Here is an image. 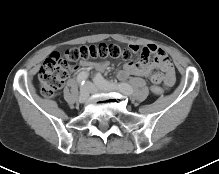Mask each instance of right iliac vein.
Masks as SVG:
<instances>
[{"label": "right iliac vein", "mask_w": 219, "mask_h": 174, "mask_svg": "<svg viewBox=\"0 0 219 174\" xmlns=\"http://www.w3.org/2000/svg\"><path fill=\"white\" fill-rule=\"evenodd\" d=\"M89 96H90V89L86 85L80 91L79 101L81 103H84V102H86L88 100Z\"/></svg>", "instance_id": "1"}]
</instances>
